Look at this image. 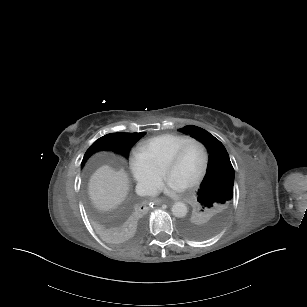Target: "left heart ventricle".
<instances>
[{
	"label": "left heart ventricle",
	"mask_w": 307,
	"mask_h": 307,
	"mask_svg": "<svg viewBox=\"0 0 307 307\" xmlns=\"http://www.w3.org/2000/svg\"><path fill=\"white\" fill-rule=\"evenodd\" d=\"M204 164V152L199 143L188 146L182 158L168 166L166 174L188 185L201 171Z\"/></svg>",
	"instance_id": "1"
}]
</instances>
